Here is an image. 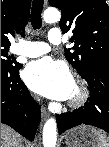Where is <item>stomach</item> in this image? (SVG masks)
Returning a JSON list of instances; mask_svg holds the SVG:
<instances>
[{"label":"stomach","instance_id":"1","mask_svg":"<svg viewBox=\"0 0 109 147\" xmlns=\"http://www.w3.org/2000/svg\"><path fill=\"white\" fill-rule=\"evenodd\" d=\"M100 132L92 126L80 125L65 133V143L67 147H98Z\"/></svg>","mask_w":109,"mask_h":147}]
</instances>
